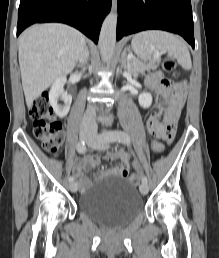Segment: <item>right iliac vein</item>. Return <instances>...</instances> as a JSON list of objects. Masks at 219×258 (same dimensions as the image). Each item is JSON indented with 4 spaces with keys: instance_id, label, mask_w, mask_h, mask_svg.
Here are the masks:
<instances>
[{
    "instance_id": "1",
    "label": "right iliac vein",
    "mask_w": 219,
    "mask_h": 258,
    "mask_svg": "<svg viewBox=\"0 0 219 258\" xmlns=\"http://www.w3.org/2000/svg\"><path fill=\"white\" fill-rule=\"evenodd\" d=\"M81 138L87 141L90 138V135L88 133H82ZM77 187H78L77 183H75V182H71L69 184V189H70L71 192H76Z\"/></svg>"
}]
</instances>
